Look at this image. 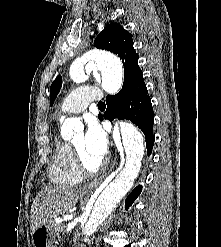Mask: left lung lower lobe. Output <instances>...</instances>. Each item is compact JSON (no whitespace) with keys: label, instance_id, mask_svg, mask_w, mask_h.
I'll list each match as a JSON object with an SVG mask.
<instances>
[{"label":"left lung lower lobe","instance_id":"obj_1","mask_svg":"<svg viewBox=\"0 0 221 247\" xmlns=\"http://www.w3.org/2000/svg\"><path fill=\"white\" fill-rule=\"evenodd\" d=\"M147 94L146 87L135 84L126 95L118 93L114 96H107V110L104 113V118L110 121H113L114 118L128 119L136 124L145 135L146 148L150 155L155 140L152 131L154 115L151 99ZM100 119L103 120V117L100 116ZM141 191L140 185L132 191L126 199V209L132 205Z\"/></svg>","mask_w":221,"mask_h":247}]
</instances>
